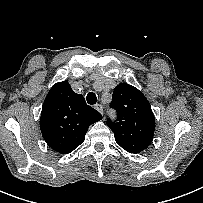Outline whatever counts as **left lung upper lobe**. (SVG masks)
Segmentation results:
<instances>
[{"label":"left lung upper lobe","mask_w":203,"mask_h":203,"mask_svg":"<svg viewBox=\"0 0 203 203\" xmlns=\"http://www.w3.org/2000/svg\"><path fill=\"white\" fill-rule=\"evenodd\" d=\"M117 120H107L116 142L130 153L146 149L153 140L155 117L146 97L135 87L121 83L115 87L110 104Z\"/></svg>","instance_id":"1"}]
</instances>
